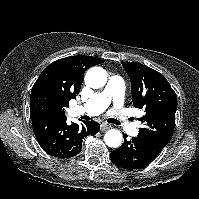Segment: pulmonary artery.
<instances>
[{"label": "pulmonary artery", "mask_w": 199, "mask_h": 199, "mask_svg": "<svg viewBox=\"0 0 199 199\" xmlns=\"http://www.w3.org/2000/svg\"><path fill=\"white\" fill-rule=\"evenodd\" d=\"M124 81L120 76L113 75L109 78L108 83L103 91L96 93L85 103L74 107L75 114H88L96 116L102 113L110 104L116 109H120L118 119L129 131L130 134L136 135L138 130L126 118V114L122 108L124 102Z\"/></svg>", "instance_id": "pulmonary-artery-1"}]
</instances>
